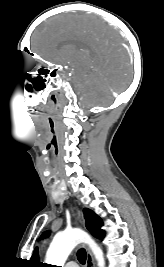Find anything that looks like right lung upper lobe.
I'll use <instances>...</instances> for the list:
<instances>
[{"label":"right lung upper lobe","mask_w":164,"mask_h":267,"mask_svg":"<svg viewBox=\"0 0 164 267\" xmlns=\"http://www.w3.org/2000/svg\"><path fill=\"white\" fill-rule=\"evenodd\" d=\"M31 263L36 266V267H40L41 263L39 262V255H38V250L37 248L35 249V252L31 258Z\"/></svg>","instance_id":"obj_1"}]
</instances>
